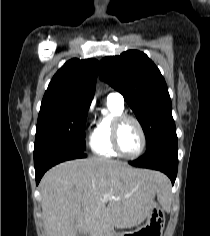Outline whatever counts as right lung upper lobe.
I'll use <instances>...</instances> for the list:
<instances>
[{
	"instance_id": "1",
	"label": "right lung upper lobe",
	"mask_w": 210,
	"mask_h": 236,
	"mask_svg": "<svg viewBox=\"0 0 210 236\" xmlns=\"http://www.w3.org/2000/svg\"><path fill=\"white\" fill-rule=\"evenodd\" d=\"M98 65L96 59L66 62L53 76L42 104L67 102L89 108L95 92Z\"/></svg>"
}]
</instances>
